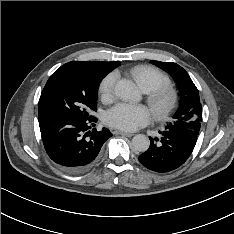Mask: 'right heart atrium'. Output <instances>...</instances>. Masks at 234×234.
Here are the masks:
<instances>
[{
  "mask_svg": "<svg viewBox=\"0 0 234 234\" xmlns=\"http://www.w3.org/2000/svg\"><path fill=\"white\" fill-rule=\"evenodd\" d=\"M115 83H116L115 73H109L101 80L99 85V92L104 100H108L112 97Z\"/></svg>",
  "mask_w": 234,
  "mask_h": 234,
  "instance_id": "obj_1",
  "label": "right heart atrium"
}]
</instances>
